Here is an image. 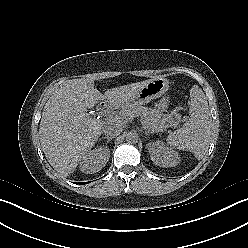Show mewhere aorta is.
<instances>
[{
	"label": "aorta",
	"instance_id": "1",
	"mask_svg": "<svg viewBox=\"0 0 248 248\" xmlns=\"http://www.w3.org/2000/svg\"><path fill=\"white\" fill-rule=\"evenodd\" d=\"M138 140H139V136L136 131H130L126 134V141L128 143H137Z\"/></svg>",
	"mask_w": 248,
	"mask_h": 248
}]
</instances>
